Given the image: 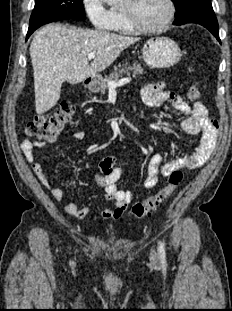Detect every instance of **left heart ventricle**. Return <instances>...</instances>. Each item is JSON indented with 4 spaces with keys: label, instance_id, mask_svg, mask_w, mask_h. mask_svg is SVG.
Masks as SVG:
<instances>
[{
    "label": "left heart ventricle",
    "instance_id": "left-heart-ventricle-1",
    "mask_svg": "<svg viewBox=\"0 0 232 311\" xmlns=\"http://www.w3.org/2000/svg\"><path fill=\"white\" fill-rule=\"evenodd\" d=\"M124 7H130L136 21L146 27L161 23L167 15L165 0H126Z\"/></svg>",
    "mask_w": 232,
    "mask_h": 311
}]
</instances>
